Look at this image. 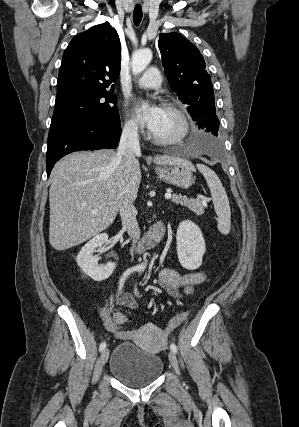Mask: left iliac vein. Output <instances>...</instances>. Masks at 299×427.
Instances as JSON below:
<instances>
[{
  "label": "left iliac vein",
  "instance_id": "4c4485c4",
  "mask_svg": "<svg viewBox=\"0 0 299 427\" xmlns=\"http://www.w3.org/2000/svg\"><path fill=\"white\" fill-rule=\"evenodd\" d=\"M169 361H170L171 365L173 366L174 370L176 371V373L179 375L180 374L179 365H178V360H177L175 352H173V351L169 352Z\"/></svg>",
  "mask_w": 299,
  "mask_h": 427
}]
</instances>
